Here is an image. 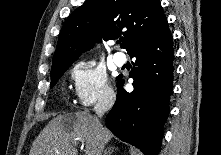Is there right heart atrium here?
<instances>
[{
  "label": "right heart atrium",
  "instance_id": "d8ad5b80",
  "mask_svg": "<svg viewBox=\"0 0 221 155\" xmlns=\"http://www.w3.org/2000/svg\"><path fill=\"white\" fill-rule=\"evenodd\" d=\"M70 75L80 106L109 105L115 100V92L105 70L95 61H78L72 66Z\"/></svg>",
  "mask_w": 221,
  "mask_h": 155
}]
</instances>
